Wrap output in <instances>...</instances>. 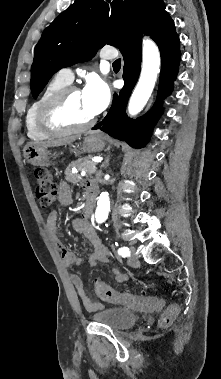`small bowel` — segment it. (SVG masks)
<instances>
[{
    "label": "small bowel",
    "instance_id": "1",
    "mask_svg": "<svg viewBox=\"0 0 221 379\" xmlns=\"http://www.w3.org/2000/svg\"><path fill=\"white\" fill-rule=\"evenodd\" d=\"M90 184L92 183L87 182L85 184L86 190ZM58 198H59V202L63 206H69L72 204L73 192L67 183L65 182L60 183ZM60 220H61L60 211L59 210L51 211L46 223L47 233L53 245L59 251L64 266L68 268L72 265H79L81 263V260L76 256V254L73 251L68 249L62 243V241L60 240L58 236V227H59ZM72 227L76 232L82 234L92 245L93 251L87 261L89 265L95 266L98 263L109 262V251L107 247L102 243L101 239L99 238L93 224L90 221V216L83 214L82 216L74 219L72 222ZM112 273H113L114 280L118 283H123L127 281L128 279V276L117 268H112ZM70 279L76 289V292L80 300L83 302L84 306L88 310L93 311V310H97L101 308L102 306L101 303L91 300L90 297L87 295L83 286V282L78 275L70 274Z\"/></svg>",
    "mask_w": 221,
    "mask_h": 379
}]
</instances>
